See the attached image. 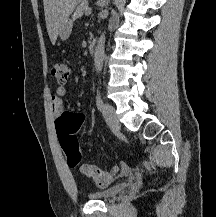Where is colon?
<instances>
[{"mask_svg": "<svg viewBox=\"0 0 216 217\" xmlns=\"http://www.w3.org/2000/svg\"><path fill=\"white\" fill-rule=\"evenodd\" d=\"M51 73L59 83L64 84L69 78L70 67L66 62H56L51 68ZM84 121L85 115L83 113H64L56 123L59 143L70 167L80 166L81 173L85 177L94 179L99 186H107L125 168L115 167L109 171H104L92 164L81 165L82 156L76 133Z\"/></svg>", "mask_w": 216, "mask_h": 217, "instance_id": "obj_1", "label": "colon"}]
</instances>
